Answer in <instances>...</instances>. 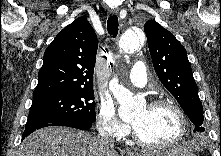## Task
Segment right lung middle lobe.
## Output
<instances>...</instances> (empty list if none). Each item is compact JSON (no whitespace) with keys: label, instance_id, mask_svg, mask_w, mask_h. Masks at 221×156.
Wrapping results in <instances>:
<instances>
[{"label":"right lung middle lobe","instance_id":"right-lung-middle-lobe-1","mask_svg":"<svg viewBox=\"0 0 221 156\" xmlns=\"http://www.w3.org/2000/svg\"><path fill=\"white\" fill-rule=\"evenodd\" d=\"M93 89L59 92L34 98L25 128L50 123L96 121Z\"/></svg>","mask_w":221,"mask_h":156}]
</instances>
